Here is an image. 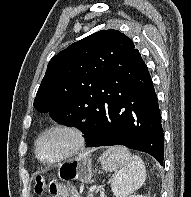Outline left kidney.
<instances>
[{
  "label": "left kidney",
  "mask_w": 191,
  "mask_h": 197,
  "mask_svg": "<svg viewBox=\"0 0 191 197\" xmlns=\"http://www.w3.org/2000/svg\"><path fill=\"white\" fill-rule=\"evenodd\" d=\"M130 197H146V196H143V195H131Z\"/></svg>",
  "instance_id": "1"
}]
</instances>
